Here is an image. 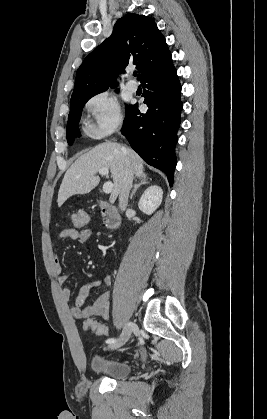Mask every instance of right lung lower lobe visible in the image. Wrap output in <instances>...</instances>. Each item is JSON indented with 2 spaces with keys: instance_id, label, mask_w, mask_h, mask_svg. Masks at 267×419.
<instances>
[{
  "instance_id": "obj_1",
  "label": "right lung lower lobe",
  "mask_w": 267,
  "mask_h": 419,
  "mask_svg": "<svg viewBox=\"0 0 267 419\" xmlns=\"http://www.w3.org/2000/svg\"><path fill=\"white\" fill-rule=\"evenodd\" d=\"M147 90L142 114L136 105L126 109L122 128L131 147L150 165L163 171L170 186L176 166L175 145L182 110L181 85L171 62L158 67L141 79Z\"/></svg>"
}]
</instances>
